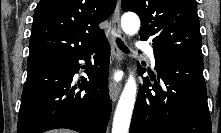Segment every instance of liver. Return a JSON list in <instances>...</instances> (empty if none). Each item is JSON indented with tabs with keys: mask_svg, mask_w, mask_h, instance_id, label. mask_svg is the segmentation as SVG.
Returning <instances> with one entry per match:
<instances>
[{
	"mask_svg": "<svg viewBox=\"0 0 221 133\" xmlns=\"http://www.w3.org/2000/svg\"><path fill=\"white\" fill-rule=\"evenodd\" d=\"M51 133H71L69 130L59 129L53 130Z\"/></svg>",
	"mask_w": 221,
	"mask_h": 133,
	"instance_id": "1",
	"label": "liver"
}]
</instances>
